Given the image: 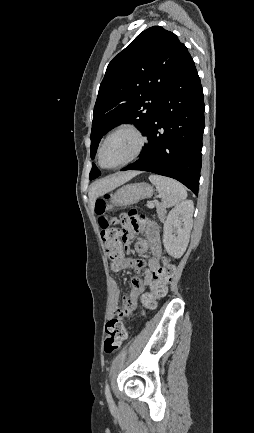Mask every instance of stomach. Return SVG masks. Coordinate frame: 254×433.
I'll list each match as a JSON object with an SVG mask.
<instances>
[{
  "mask_svg": "<svg viewBox=\"0 0 254 433\" xmlns=\"http://www.w3.org/2000/svg\"><path fill=\"white\" fill-rule=\"evenodd\" d=\"M153 188L147 183L127 184L119 188L112 196L114 206H128L153 195Z\"/></svg>",
  "mask_w": 254,
  "mask_h": 433,
  "instance_id": "stomach-1",
  "label": "stomach"
}]
</instances>
